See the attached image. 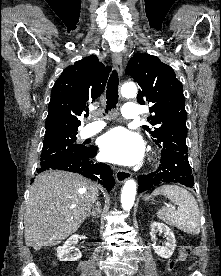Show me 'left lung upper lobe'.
<instances>
[{
  "label": "left lung upper lobe",
  "mask_w": 221,
  "mask_h": 276,
  "mask_svg": "<svg viewBox=\"0 0 221 276\" xmlns=\"http://www.w3.org/2000/svg\"><path fill=\"white\" fill-rule=\"evenodd\" d=\"M125 74L139 85L137 100L151 104L147 118L151 128L143 126L162 149L187 152V113L183 86L173 69L150 54H136L128 62Z\"/></svg>",
  "instance_id": "1"
}]
</instances>
